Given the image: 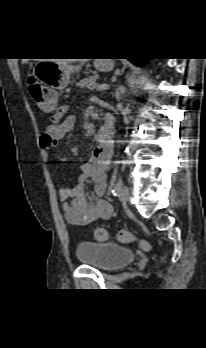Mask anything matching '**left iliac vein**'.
I'll list each match as a JSON object with an SVG mask.
<instances>
[{
  "label": "left iliac vein",
  "mask_w": 206,
  "mask_h": 348,
  "mask_svg": "<svg viewBox=\"0 0 206 348\" xmlns=\"http://www.w3.org/2000/svg\"><path fill=\"white\" fill-rule=\"evenodd\" d=\"M118 197H119V199H120V201L122 203H126L129 200V198H130V190H129V188L127 186H123L121 188V191L119 192Z\"/></svg>",
  "instance_id": "left-iliac-vein-1"
}]
</instances>
